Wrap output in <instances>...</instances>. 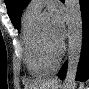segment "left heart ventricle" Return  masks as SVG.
<instances>
[{
  "mask_svg": "<svg viewBox=\"0 0 89 89\" xmlns=\"http://www.w3.org/2000/svg\"><path fill=\"white\" fill-rule=\"evenodd\" d=\"M42 35L44 37V40L48 44V46L52 50H56L57 47L60 45L58 42L54 41V39L51 36V24L50 22H46L40 25Z\"/></svg>",
  "mask_w": 89,
  "mask_h": 89,
  "instance_id": "b2bd125f",
  "label": "left heart ventricle"
}]
</instances>
